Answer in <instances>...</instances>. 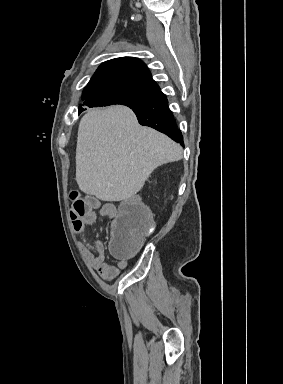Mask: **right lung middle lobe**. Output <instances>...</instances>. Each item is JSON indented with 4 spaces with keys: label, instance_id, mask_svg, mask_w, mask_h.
Returning <instances> with one entry per match:
<instances>
[{
    "label": "right lung middle lobe",
    "instance_id": "obj_1",
    "mask_svg": "<svg viewBox=\"0 0 283 384\" xmlns=\"http://www.w3.org/2000/svg\"><path fill=\"white\" fill-rule=\"evenodd\" d=\"M159 92L147 91L122 85H98L86 87L82 94L83 105L89 107L123 104L128 107H142L151 104ZM84 109L80 106L79 113Z\"/></svg>",
    "mask_w": 283,
    "mask_h": 384
}]
</instances>
